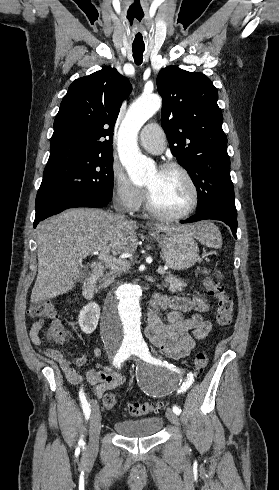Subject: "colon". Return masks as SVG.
<instances>
[{"label": "colon", "mask_w": 279, "mask_h": 490, "mask_svg": "<svg viewBox=\"0 0 279 490\" xmlns=\"http://www.w3.org/2000/svg\"><path fill=\"white\" fill-rule=\"evenodd\" d=\"M206 293L217 303L216 323L220 327H227L232 321L233 301L225 292L224 286L212 274L205 272L202 279ZM29 314L35 319L44 320L47 327L43 329L44 336L48 340H64L72 338V329H59L58 313L49 302L35 303L29 308ZM208 363V357L204 353H198L194 358V366L197 373H201ZM116 399L108 392L103 396V406L107 410L114 409ZM160 409V405L154 401L133 402L127 406L129 416L153 415Z\"/></svg>", "instance_id": "obj_1"}]
</instances>
